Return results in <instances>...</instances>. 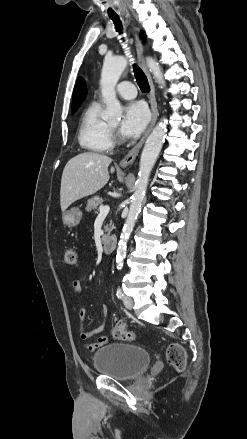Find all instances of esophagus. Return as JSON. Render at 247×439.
Masks as SVG:
<instances>
[{
  "label": "esophagus",
  "mask_w": 247,
  "mask_h": 439,
  "mask_svg": "<svg viewBox=\"0 0 247 439\" xmlns=\"http://www.w3.org/2000/svg\"><path fill=\"white\" fill-rule=\"evenodd\" d=\"M135 43H136V49H137V54L139 57V64L140 67L142 68V70L144 71V73L147 76L148 79V83L150 86V105H151V111H152V118H151V122L147 128V130L145 131L144 135L142 136V138L140 139V141L135 145V147L120 161V166L122 168H126L128 166H130L134 160L136 159V157L138 156L140 149L142 148L145 139L147 138V136L149 135V133L151 132L153 126L155 125L157 118H158V107H157V101H156V96H155V87H154V83L151 77V74L146 66L145 60H144V49H143V45L137 35V33H135Z\"/></svg>",
  "instance_id": "1"
}]
</instances>
